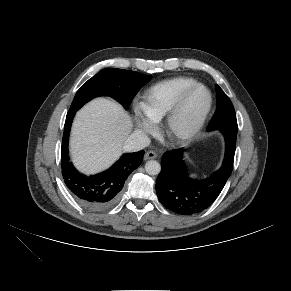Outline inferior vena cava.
<instances>
[{"label":"inferior vena cava","instance_id":"obj_1","mask_svg":"<svg viewBox=\"0 0 291 291\" xmlns=\"http://www.w3.org/2000/svg\"><path fill=\"white\" fill-rule=\"evenodd\" d=\"M150 144V139L147 135L139 130H135L130 134L123 144V149L126 152H136L144 149Z\"/></svg>","mask_w":291,"mask_h":291}]
</instances>
